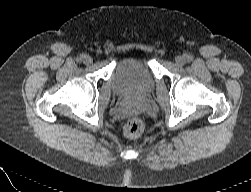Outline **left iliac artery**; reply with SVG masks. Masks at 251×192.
<instances>
[{
	"label": "left iliac artery",
	"instance_id": "left-iliac-artery-1",
	"mask_svg": "<svg viewBox=\"0 0 251 192\" xmlns=\"http://www.w3.org/2000/svg\"><path fill=\"white\" fill-rule=\"evenodd\" d=\"M187 60H188V61H191V60H192V57H191V56H188V57H187Z\"/></svg>",
	"mask_w": 251,
	"mask_h": 192
}]
</instances>
